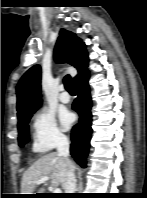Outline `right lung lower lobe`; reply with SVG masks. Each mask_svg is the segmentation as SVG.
<instances>
[{
    "label": "right lung lower lobe",
    "instance_id": "1",
    "mask_svg": "<svg viewBox=\"0 0 147 198\" xmlns=\"http://www.w3.org/2000/svg\"><path fill=\"white\" fill-rule=\"evenodd\" d=\"M89 72L87 71L75 82L78 97L73 103V110L79 114V122L71 132L70 152L75 161L83 168L86 167L89 143L91 138V97L88 86Z\"/></svg>",
    "mask_w": 147,
    "mask_h": 198
}]
</instances>
